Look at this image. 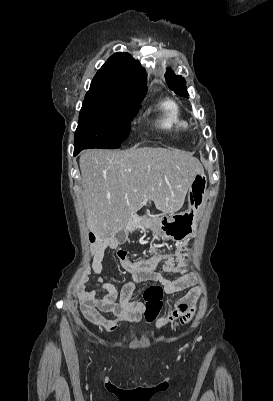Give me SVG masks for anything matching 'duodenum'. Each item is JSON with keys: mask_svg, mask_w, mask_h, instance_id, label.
Returning a JSON list of instances; mask_svg holds the SVG:
<instances>
[{"mask_svg": "<svg viewBox=\"0 0 273 401\" xmlns=\"http://www.w3.org/2000/svg\"><path fill=\"white\" fill-rule=\"evenodd\" d=\"M140 220L141 218L138 215L133 214L127 224V230H132L140 222Z\"/></svg>", "mask_w": 273, "mask_h": 401, "instance_id": "1", "label": "duodenum"}]
</instances>
